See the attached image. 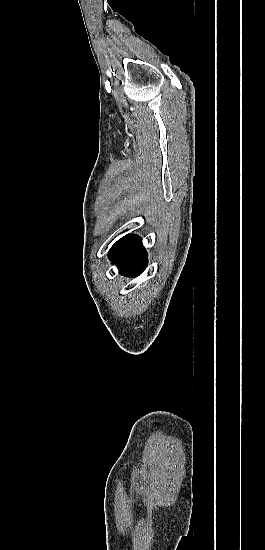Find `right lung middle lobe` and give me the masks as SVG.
Instances as JSON below:
<instances>
[{"label":"right lung middle lobe","instance_id":"1","mask_svg":"<svg viewBox=\"0 0 265 550\" xmlns=\"http://www.w3.org/2000/svg\"><path fill=\"white\" fill-rule=\"evenodd\" d=\"M129 235H126L124 236L123 238H121L120 240H118L113 246L112 248L110 249V252H112L113 250H115L117 247H119V245L128 237Z\"/></svg>","mask_w":265,"mask_h":550}]
</instances>
